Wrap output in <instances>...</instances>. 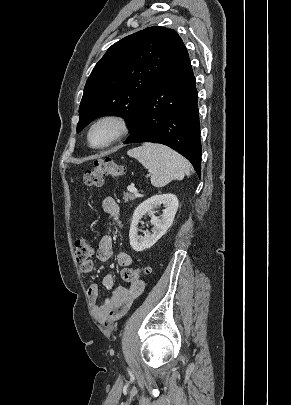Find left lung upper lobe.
<instances>
[{
    "mask_svg": "<svg viewBox=\"0 0 291 405\" xmlns=\"http://www.w3.org/2000/svg\"><path fill=\"white\" fill-rule=\"evenodd\" d=\"M183 47L175 30L159 26L138 31L113 44L86 82L77 131L103 115L124 117L133 131L144 98Z\"/></svg>",
    "mask_w": 291,
    "mask_h": 405,
    "instance_id": "1",
    "label": "left lung upper lobe"
}]
</instances>
